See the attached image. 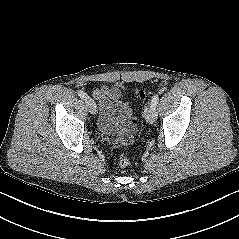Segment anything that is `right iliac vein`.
<instances>
[{"label": "right iliac vein", "instance_id": "1", "mask_svg": "<svg viewBox=\"0 0 239 239\" xmlns=\"http://www.w3.org/2000/svg\"><path fill=\"white\" fill-rule=\"evenodd\" d=\"M84 101H85V103H86V106H87L89 112H90L91 114H96V112H97V107H96V104H95L94 100H93L91 97L86 96V97L84 98Z\"/></svg>", "mask_w": 239, "mask_h": 239}]
</instances>
